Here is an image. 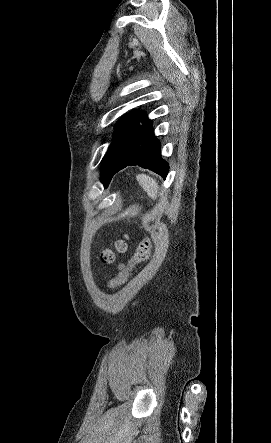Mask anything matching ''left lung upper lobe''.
I'll list each match as a JSON object with an SVG mask.
<instances>
[{
    "label": "left lung upper lobe",
    "mask_w": 271,
    "mask_h": 443,
    "mask_svg": "<svg viewBox=\"0 0 271 443\" xmlns=\"http://www.w3.org/2000/svg\"><path fill=\"white\" fill-rule=\"evenodd\" d=\"M137 114H138V112L135 111V112L127 115L126 117L122 118L116 125L113 141H112L105 157L102 160L103 166L101 168V182L104 184L105 187L108 186V184L111 180L110 171H111L112 165L114 163L115 157L117 155L119 144H120L121 140L123 139L126 129L134 121Z\"/></svg>",
    "instance_id": "5c2ea615"
}]
</instances>
